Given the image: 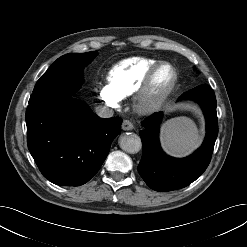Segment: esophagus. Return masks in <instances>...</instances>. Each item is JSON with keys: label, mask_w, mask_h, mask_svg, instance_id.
Returning a JSON list of instances; mask_svg holds the SVG:
<instances>
[{"label": "esophagus", "mask_w": 247, "mask_h": 247, "mask_svg": "<svg viewBox=\"0 0 247 247\" xmlns=\"http://www.w3.org/2000/svg\"><path fill=\"white\" fill-rule=\"evenodd\" d=\"M134 126L129 120H124L122 123V129L125 131L133 130Z\"/></svg>", "instance_id": "34e87169"}]
</instances>
